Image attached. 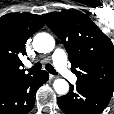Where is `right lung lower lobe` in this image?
<instances>
[{"label": "right lung lower lobe", "mask_w": 114, "mask_h": 114, "mask_svg": "<svg viewBox=\"0 0 114 114\" xmlns=\"http://www.w3.org/2000/svg\"><path fill=\"white\" fill-rule=\"evenodd\" d=\"M48 79L49 74L42 70L0 87V114H27L34 107L36 90Z\"/></svg>", "instance_id": "1"}]
</instances>
